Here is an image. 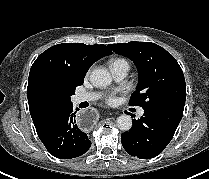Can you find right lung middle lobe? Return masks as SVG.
Returning a JSON list of instances; mask_svg holds the SVG:
<instances>
[{"label": "right lung middle lobe", "instance_id": "right-lung-middle-lobe-1", "mask_svg": "<svg viewBox=\"0 0 209 179\" xmlns=\"http://www.w3.org/2000/svg\"><path fill=\"white\" fill-rule=\"evenodd\" d=\"M75 94L74 91L58 92L56 90L47 89L43 94V101L50 109H58L70 103V96Z\"/></svg>", "mask_w": 209, "mask_h": 179}]
</instances>
